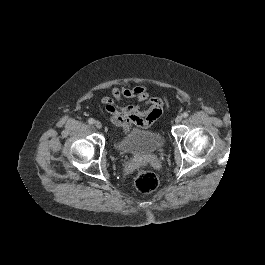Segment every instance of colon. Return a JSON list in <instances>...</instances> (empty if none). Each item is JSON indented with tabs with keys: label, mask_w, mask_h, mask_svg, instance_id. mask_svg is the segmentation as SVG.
Segmentation results:
<instances>
[{
	"label": "colon",
	"mask_w": 265,
	"mask_h": 265,
	"mask_svg": "<svg viewBox=\"0 0 265 265\" xmlns=\"http://www.w3.org/2000/svg\"><path fill=\"white\" fill-rule=\"evenodd\" d=\"M159 180L155 173L147 170H140L137 172L134 185L141 193H149L154 191L158 186Z\"/></svg>",
	"instance_id": "colon-1"
}]
</instances>
